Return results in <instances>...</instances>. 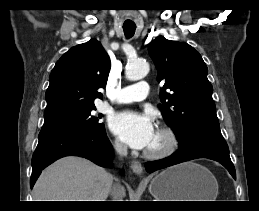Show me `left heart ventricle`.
<instances>
[{
  "mask_svg": "<svg viewBox=\"0 0 259 211\" xmlns=\"http://www.w3.org/2000/svg\"><path fill=\"white\" fill-rule=\"evenodd\" d=\"M163 144H164V137L160 133L155 132L154 138L147 149H157L161 147Z\"/></svg>",
  "mask_w": 259,
  "mask_h": 211,
  "instance_id": "b2bd125f",
  "label": "left heart ventricle"
}]
</instances>
